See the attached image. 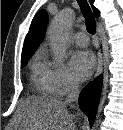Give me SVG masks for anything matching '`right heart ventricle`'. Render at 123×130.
<instances>
[{"instance_id": "1", "label": "right heart ventricle", "mask_w": 123, "mask_h": 130, "mask_svg": "<svg viewBox=\"0 0 123 130\" xmlns=\"http://www.w3.org/2000/svg\"><path fill=\"white\" fill-rule=\"evenodd\" d=\"M33 80L38 89L46 95H52L51 86L46 75V59L44 55L37 53L32 61Z\"/></svg>"}]
</instances>
